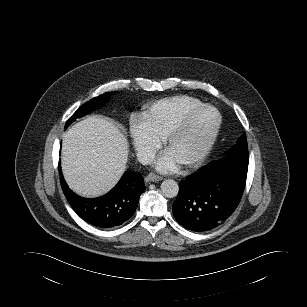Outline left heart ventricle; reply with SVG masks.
I'll use <instances>...</instances> for the list:
<instances>
[{
    "instance_id": "b2bd125f",
    "label": "left heart ventricle",
    "mask_w": 307,
    "mask_h": 307,
    "mask_svg": "<svg viewBox=\"0 0 307 307\" xmlns=\"http://www.w3.org/2000/svg\"><path fill=\"white\" fill-rule=\"evenodd\" d=\"M216 123V115L209 109L196 112L183 133L167 149L179 163L188 159L205 141Z\"/></svg>"
}]
</instances>
